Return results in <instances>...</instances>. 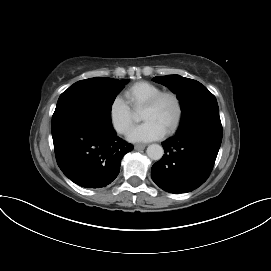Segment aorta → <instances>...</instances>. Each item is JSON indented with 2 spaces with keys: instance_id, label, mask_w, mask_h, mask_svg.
Here are the masks:
<instances>
[{
  "instance_id": "1",
  "label": "aorta",
  "mask_w": 271,
  "mask_h": 271,
  "mask_svg": "<svg viewBox=\"0 0 271 271\" xmlns=\"http://www.w3.org/2000/svg\"><path fill=\"white\" fill-rule=\"evenodd\" d=\"M146 152L148 157L152 160H160L164 154V150L159 144L149 145Z\"/></svg>"
}]
</instances>
